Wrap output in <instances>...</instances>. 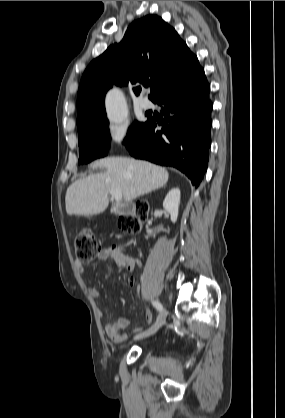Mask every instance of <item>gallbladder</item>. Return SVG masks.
Returning <instances> with one entry per match:
<instances>
[{
	"instance_id": "bac80fb5",
	"label": "gallbladder",
	"mask_w": 285,
	"mask_h": 418,
	"mask_svg": "<svg viewBox=\"0 0 285 418\" xmlns=\"http://www.w3.org/2000/svg\"><path fill=\"white\" fill-rule=\"evenodd\" d=\"M124 210H125V207L122 206L116 210V214L120 215L124 212Z\"/></svg>"
}]
</instances>
